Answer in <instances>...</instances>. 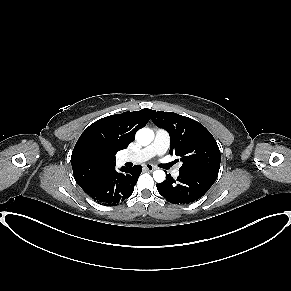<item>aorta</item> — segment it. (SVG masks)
<instances>
[{
    "label": "aorta",
    "mask_w": 291,
    "mask_h": 291,
    "mask_svg": "<svg viewBox=\"0 0 291 291\" xmlns=\"http://www.w3.org/2000/svg\"><path fill=\"white\" fill-rule=\"evenodd\" d=\"M136 140L142 146H147L152 141V131L148 128H142L136 133ZM165 172L163 170H155L153 172V178L156 182L161 183L165 180Z\"/></svg>",
    "instance_id": "obj_1"
}]
</instances>
